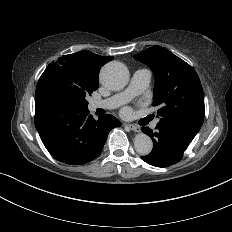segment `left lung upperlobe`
<instances>
[{
	"label": "left lung upper lobe",
	"mask_w": 232,
	"mask_h": 232,
	"mask_svg": "<svg viewBox=\"0 0 232 232\" xmlns=\"http://www.w3.org/2000/svg\"><path fill=\"white\" fill-rule=\"evenodd\" d=\"M134 58L154 73L153 106H160L157 125L192 141L204 120V94L197 73L161 46L150 47Z\"/></svg>",
	"instance_id": "left-lung-upper-lobe-1"
}]
</instances>
